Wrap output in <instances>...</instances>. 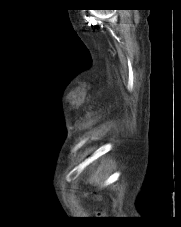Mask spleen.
Segmentation results:
<instances>
[{
	"instance_id": "spleen-1",
	"label": "spleen",
	"mask_w": 181,
	"mask_h": 227,
	"mask_svg": "<svg viewBox=\"0 0 181 227\" xmlns=\"http://www.w3.org/2000/svg\"><path fill=\"white\" fill-rule=\"evenodd\" d=\"M94 180H95L96 183H99L100 178H98V177L96 176V177L94 178Z\"/></svg>"
}]
</instances>
